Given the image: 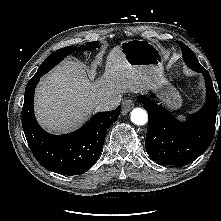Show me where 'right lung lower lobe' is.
I'll list each match as a JSON object with an SVG mask.
<instances>
[{
  "instance_id": "right-lung-lower-lobe-1",
  "label": "right lung lower lobe",
  "mask_w": 221,
  "mask_h": 221,
  "mask_svg": "<svg viewBox=\"0 0 221 221\" xmlns=\"http://www.w3.org/2000/svg\"><path fill=\"white\" fill-rule=\"evenodd\" d=\"M34 75L25 89L22 127L37 161L47 170L64 175H79L97 161L107 129L117 121L120 106L112 112H100L79 130L66 135H51L37 123L34 115V90L40 77Z\"/></svg>"
}]
</instances>
